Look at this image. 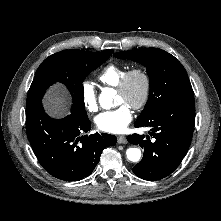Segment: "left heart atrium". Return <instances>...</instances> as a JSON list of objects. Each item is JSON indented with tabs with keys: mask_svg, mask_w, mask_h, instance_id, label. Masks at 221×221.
<instances>
[{
	"mask_svg": "<svg viewBox=\"0 0 221 221\" xmlns=\"http://www.w3.org/2000/svg\"><path fill=\"white\" fill-rule=\"evenodd\" d=\"M132 120V111L127 104H121L113 110L100 113L95 118V124L100 131L107 133H121Z\"/></svg>",
	"mask_w": 221,
	"mask_h": 221,
	"instance_id": "obj_1",
	"label": "left heart atrium"
}]
</instances>
